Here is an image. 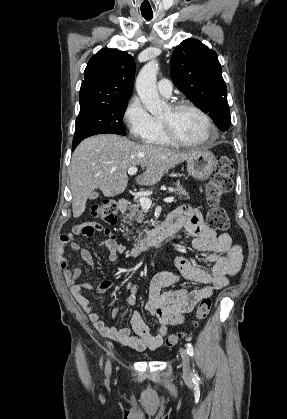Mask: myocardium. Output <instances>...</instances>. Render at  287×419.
I'll return each instance as SVG.
<instances>
[{
  "label": "myocardium",
  "mask_w": 287,
  "mask_h": 419,
  "mask_svg": "<svg viewBox=\"0 0 287 419\" xmlns=\"http://www.w3.org/2000/svg\"><path fill=\"white\" fill-rule=\"evenodd\" d=\"M171 108L173 110L191 109L197 112L203 118L208 128V134L204 139L196 142H189L176 136V134L172 131L170 126L160 120L164 136L171 144L184 147H200L212 142L217 137V129L212 119L203 109H201L196 104L189 101H180L171 105Z\"/></svg>",
  "instance_id": "f54148a6"
}]
</instances>
